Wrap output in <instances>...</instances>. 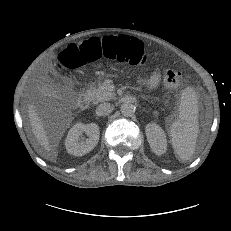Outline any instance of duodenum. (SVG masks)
I'll return each mask as SVG.
<instances>
[{
	"label": "duodenum",
	"mask_w": 231,
	"mask_h": 231,
	"mask_svg": "<svg viewBox=\"0 0 231 231\" xmlns=\"http://www.w3.org/2000/svg\"><path fill=\"white\" fill-rule=\"evenodd\" d=\"M91 101V94L89 92L83 93L77 99V104L80 109H87Z\"/></svg>",
	"instance_id": "obj_1"
}]
</instances>
